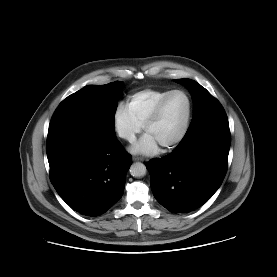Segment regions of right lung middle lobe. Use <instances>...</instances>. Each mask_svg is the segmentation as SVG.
Here are the masks:
<instances>
[{"instance_id": "right-lung-middle-lobe-1", "label": "right lung middle lobe", "mask_w": 277, "mask_h": 277, "mask_svg": "<svg viewBox=\"0 0 277 277\" xmlns=\"http://www.w3.org/2000/svg\"><path fill=\"white\" fill-rule=\"evenodd\" d=\"M121 86L120 81L106 85L85 86L63 100L55 113H80L106 129L115 132L116 98Z\"/></svg>"}]
</instances>
